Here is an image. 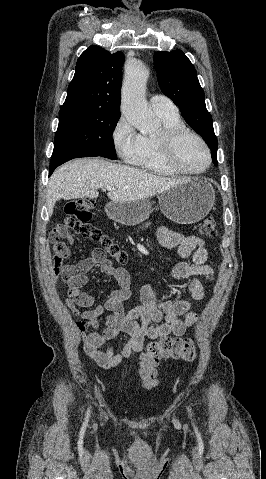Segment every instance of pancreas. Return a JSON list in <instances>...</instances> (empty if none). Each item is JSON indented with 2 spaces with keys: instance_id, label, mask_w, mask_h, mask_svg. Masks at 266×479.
I'll return each mask as SVG.
<instances>
[{
  "instance_id": "cf45deb5",
  "label": "pancreas",
  "mask_w": 266,
  "mask_h": 479,
  "mask_svg": "<svg viewBox=\"0 0 266 479\" xmlns=\"http://www.w3.org/2000/svg\"><path fill=\"white\" fill-rule=\"evenodd\" d=\"M150 225V223H146V227H148Z\"/></svg>"
}]
</instances>
